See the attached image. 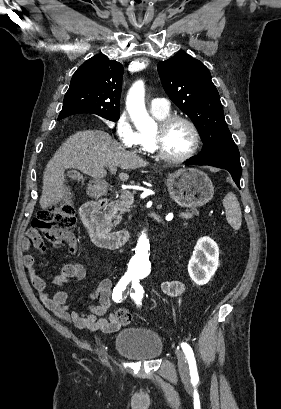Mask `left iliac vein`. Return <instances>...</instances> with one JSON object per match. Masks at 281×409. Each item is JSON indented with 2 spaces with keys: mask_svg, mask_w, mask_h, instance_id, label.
Returning <instances> with one entry per match:
<instances>
[{
  "mask_svg": "<svg viewBox=\"0 0 281 409\" xmlns=\"http://www.w3.org/2000/svg\"><path fill=\"white\" fill-rule=\"evenodd\" d=\"M177 360H178V368H179V372L183 377H188L189 376V367H188V363H187V358L185 356V354L177 349L175 351Z\"/></svg>",
  "mask_w": 281,
  "mask_h": 409,
  "instance_id": "left-iliac-vein-1",
  "label": "left iliac vein"
}]
</instances>
